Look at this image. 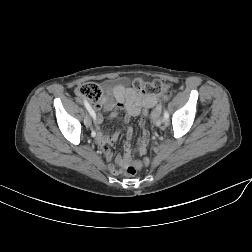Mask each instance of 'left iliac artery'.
Segmentation results:
<instances>
[{
	"label": "left iliac artery",
	"mask_w": 252,
	"mask_h": 252,
	"mask_svg": "<svg viewBox=\"0 0 252 252\" xmlns=\"http://www.w3.org/2000/svg\"><path fill=\"white\" fill-rule=\"evenodd\" d=\"M169 118V113L167 111H164V120H167Z\"/></svg>",
	"instance_id": "44dca946"
}]
</instances>
